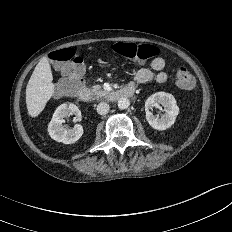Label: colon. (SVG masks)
I'll return each mask as SVG.
<instances>
[{
  "instance_id": "colon-1",
  "label": "colon",
  "mask_w": 232,
  "mask_h": 232,
  "mask_svg": "<svg viewBox=\"0 0 232 232\" xmlns=\"http://www.w3.org/2000/svg\"><path fill=\"white\" fill-rule=\"evenodd\" d=\"M112 50L125 58L136 62H145L155 57L159 51L151 44H137L120 42L112 46ZM50 60L56 64L62 74L56 91L60 95L75 94L82 86L83 61L70 48L53 51ZM175 82L182 89H192L195 79L189 69L179 66L175 71Z\"/></svg>"
}]
</instances>
